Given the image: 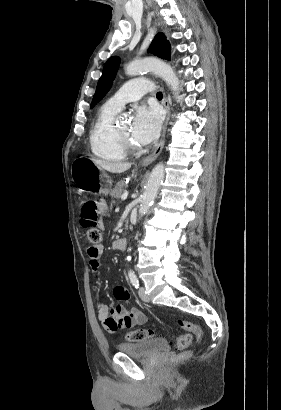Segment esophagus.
<instances>
[{
	"instance_id": "obj_1",
	"label": "esophagus",
	"mask_w": 281,
	"mask_h": 410,
	"mask_svg": "<svg viewBox=\"0 0 281 410\" xmlns=\"http://www.w3.org/2000/svg\"><path fill=\"white\" fill-rule=\"evenodd\" d=\"M163 106H164V109L166 111V119H165V123H164V126H163V132H162L160 141L157 144L154 151L149 156H147L146 158H144L142 160L141 165L144 166V167L150 165L153 161L156 160V158L161 153V151L164 147V144H165L166 129H167L168 122H169V119H170V106H169V102H168V99H167L165 93H164V96H163Z\"/></svg>"
}]
</instances>
